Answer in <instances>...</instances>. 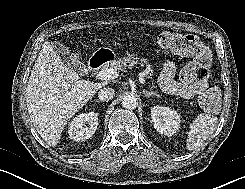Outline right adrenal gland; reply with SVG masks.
Here are the masks:
<instances>
[{
	"label": "right adrenal gland",
	"instance_id": "1",
	"mask_svg": "<svg viewBox=\"0 0 245 189\" xmlns=\"http://www.w3.org/2000/svg\"><path fill=\"white\" fill-rule=\"evenodd\" d=\"M95 101H96V102H104V101H102V100H98V99H96Z\"/></svg>",
	"mask_w": 245,
	"mask_h": 189
}]
</instances>
